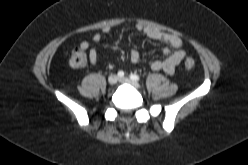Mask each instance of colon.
<instances>
[{"mask_svg": "<svg viewBox=\"0 0 248 165\" xmlns=\"http://www.w3.org/2000/svg\"><path fill=\"white\" fill-rule=\"evenodd\" d=\"M86 62L87 57L82 49L76 48L71 52L69 57V64L73 68H82L86 65ZM184 66L188 70L193 69L195 67V61L192 58H186L184 61Z\"/></svg>", "mask_w": 248, "mask_h": 165, "instance_id": "5ec220e1", "label": "colon"}]
</instances>
